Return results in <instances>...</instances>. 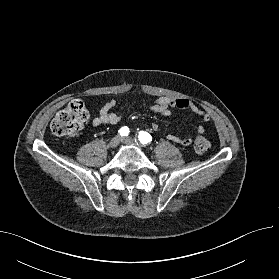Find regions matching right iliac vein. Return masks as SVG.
<instances>
[{"instance_id":"right-iliac-vein-1","label":"right iliac vein","mask_w":279,"mask_h":279,"mask_svg":"<svg viewBox=\"0 0 279 279\" xmlns=\"http://www.w3.org/2000/svg\"><path fill=\"white\" fill-rule=\"evenodd\" d=\"M120 141H121L120 136L113 137L109 142V147L110 148H116L119 145Z\"/></svg>"}]
</instances>
